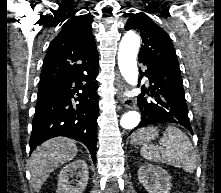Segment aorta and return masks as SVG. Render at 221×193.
Wrapping results in <instances>:
<instances>
[{"mask_svg": "<svg viewBox=\"0 0 221 193\" xmlns=\"http://www.w3.org/2000/svg\"><path fill=\"white\" fill-rule=\"evenodd\" d=\"M140 47V37L132 31L127 32L119 45L118 65L126 82L132 86L137 85L138 67L137 54ZM140 122V114L136 111L125 113L120 120V125L125 129H133Z\"/></svg>", "mask_w": 221, "mask_h": 193, "instance_id": "1", "label": "aorta"}]
</instances>
